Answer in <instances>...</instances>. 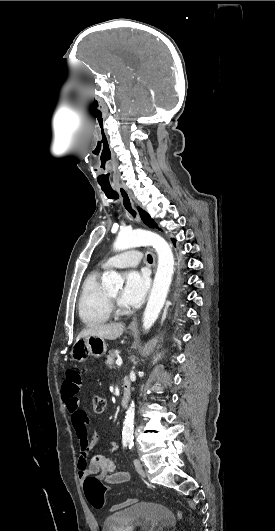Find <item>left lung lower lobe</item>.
<instances>
[{"label":"left lung lower lobe","instance_id":"1","mask_svg":"<svg viewBox=\"0 0 275 531\" xmlns=\"http://www.w3.org/2000/svg\"><path fill=\"white\" fill-rule=\"evenodd\" d=\"M172 242H173V244L175 245V240H174V239H172Z\"/></svg>","mask_w":275,"mask_h":531}]
</instances>
